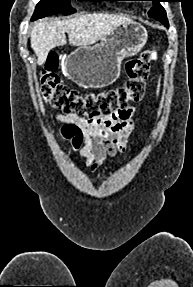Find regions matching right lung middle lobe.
Here are the masks:
<instances>
[{"label": "right lung middle lobe", "mask_w": 193, "mask_h": 287, "mask_svg": "<svg viewBox=\"0 0 193 287\" xmlns=\"http://www.w3.org/2000/svg\"><path fill=\"white\" fill-rule=\"evenodd\" d=\"M78 1H102V0H78ZM76 12L70 6V0H40L35 8L32 20L43 18L45 16L63 13L65 15Z\"/></svg>", "instance_id": "right-lung-middle-lobe-1"}]
</instances>
